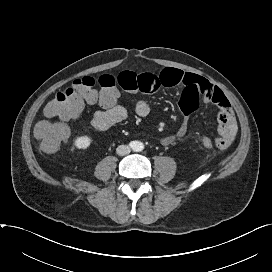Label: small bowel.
<instances>
[{
    "mask_svg": "<svg viewBox=\"0 0 272 272\" xmlns=\"http://www.w3.org/2000/svg\"><path fill=\"white\" fill-rule=\"evenodd\" d=\"M116 79L118 85L128 92L154 93L161 88L181 86L179 98L181 122L173 134L160 139L163 146L172 145L186 134L189 119L201 101L218 107V129L214 145L219 149H226L233 143L238 132V124L231 104L224 93L205 78L178 69L167 68L158 73L123 71ZM150 111V104L145 100H140L135 104V112L140 117H146ZM126 117L127 110L122 105L115 104L110 108L95 112L91 124L95 129L104 131Z\"/></svg>",
    "mask_w": 272,
    "mask_h": 272,
    "instance_id": "small-bowel-1",
    "label": "small bowel"
}]
</instances>
